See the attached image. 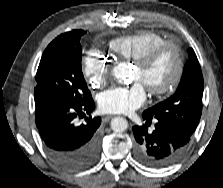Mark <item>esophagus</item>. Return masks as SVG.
<instances>
[{
    "mask_svg": "<svg viewBox=\"0 0 223 188\" xmlns=\"http://www.w3.org/2000/svg\"><path fill=\"white\" fill-rule=\"evenodd\" d=\"M112 118H113L112 115L105 116V117H103V121L107 122V121L111 120Z\"/></svg>",
    "mask_w": 223,
    "mask_h": 188,
    "instance_id": "obj_1",
    "label": "esophagus"
}]
</instances>
